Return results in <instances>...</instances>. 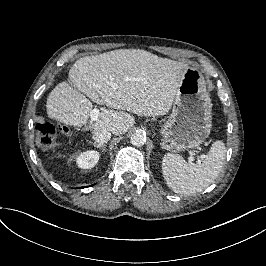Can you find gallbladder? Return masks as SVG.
Here are the masks:
<instances>
[{
	"label": "gallbladder",
	"mask_w": 266,
	"mask_h": 266,
	"mask_svg": "<svg viewBox=\"0 0 266 266\" xmlns=\"http://www.w3.org/2000/svg\"><path fill=\"white\" fill-rule=\"evenodd\" d=\"M75 90H76L77 92H80V90H79L77 87L75 88Z\"/></svg>",
	"instance_id": "obj_1"
}]
</instances>
